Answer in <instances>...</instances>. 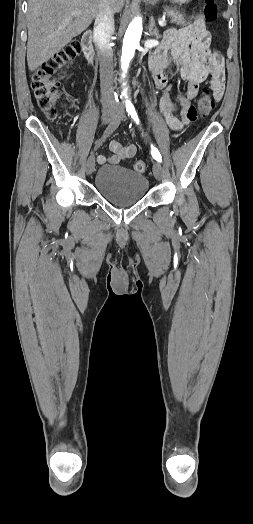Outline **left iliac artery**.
<instances>
[{
    "label": "left iliac artery",
    "mask_w": 253,
    "mask_h": 524,
    "mask_svg": "<svg viewBox=\"0 0 253 524\" xmlns=\"http://www.w3.org/2000/svg\"><path fill=\"white\" fill-rule=\"evenodd\" d=\"M126 110H127L128 114L134 119V121L137 124H139L138 115H137L136 110H135V108H134V106H133V104L131 102H126ZM151 154H152V157L154 159H156L158 162H162L161 155H160L159 151L152 144H151Z\"/></svg>",
    "instance_id": "1"
}]
</instances>
